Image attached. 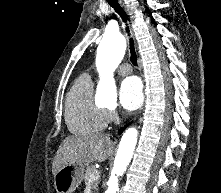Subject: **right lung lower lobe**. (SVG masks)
<instances>
[{
    "label": "right lung lower lobe",
    "instance_id": "obj_1",
    "mask_svg": "<svg viewBox=\"0 0 221 193\" xmlns=\"http://www.w3.org/2000/svg\"><path fill=\"white\" fill-rule=\"evenodd\" d=\"M126 127H127V126L121 128V129L119 130V133H122V132L125 130Z\"/></svg>",
    "mask_w": 221,
    "mask_h": 193
}]
</instances>
